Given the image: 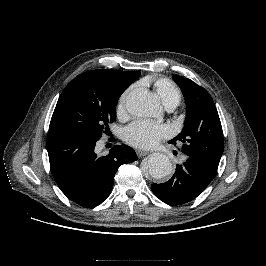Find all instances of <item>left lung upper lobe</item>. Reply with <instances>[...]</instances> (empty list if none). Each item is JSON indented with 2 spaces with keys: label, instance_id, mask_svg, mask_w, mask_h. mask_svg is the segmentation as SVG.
<instances>
[{
  "label": "left lung upper lobe",
  "instance_id": "obj_1",
  "mask_svg": "<svg viewBox=\"0 0 266 266\" xmlns=\"http://www.w3.org/2000/svg\"><path fill=\"white\" fill-rule=\"evenodd\" d=\"M186 102L185 126L169 143H183V152L218 167L224 138L220 118L210 94L188 78L173 76Z\"/></svg>",
  "mask_w": 266,
  "mask_h": 266
}]
</instances>
